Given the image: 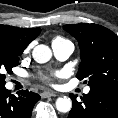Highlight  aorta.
Returning <instances> with one entry per match:
<instances>
[{
    "label": "aorta",
    "mask_w": 118,
    "mask_h": 118,
    "mask_svg": "<svg viewBox=\"0 0 118 118\" xmlns=\"http://www.w3.org/2000/svg\"><path fill=\"white\" fill-rule=\"evenodd\" d=\"M33 59L37 63H46L52 57L51 49L46 45H37L32 51ZM56 109L61 113H67L72 108V101L69 97H59L55 103Z\"/></svg>",
    "instance_id": "1"
}]
</instances>
